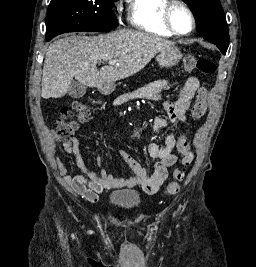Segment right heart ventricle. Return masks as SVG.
I'll use <instances>...</instances> for the list:
<instances>
[{
	"mask_svg": "<svg viewBox=\"0 0 256 267\" xmlns=\"http://www.w3.org/2000/svg\"><path fill=\"white\" fill-rule=\"evenodd\" d=\"M167 0H137L134 4V25L143 28L142 36H175L163 20Z\"/></svg>",
	"mask_w": 256,
	"mask_h": 267,
	"instance_id": "right-heart-ventricle-1",
	"label": "right heart ventricle"
}]
</instances>
